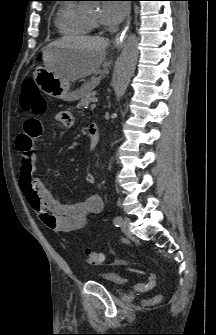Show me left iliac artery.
Here are the masks:
<instances>
[{"instance_id": "44dca946", "label": "left iliac artery", "mask_w": 216, "mask_h": 335, "mask_svg": "<svg viewBox=\"0 0 216 335\" xmlns=\"http://www.w3.org/2000/svg\"><path fill=\"white\" fill-rule=\"evenodd\" d=\"M121 221H122V218H121L120 216H116V217L114 218V225H115L116 227H118V226L120 225Z\"/></svg>"}]
</instances>
